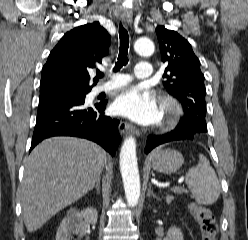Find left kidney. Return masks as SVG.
<instances>
[{
  "mask_svg": "<svg viewBox=\"0 0 248 240\" xmlns=\"http://www.w3.org/2000/svg\"><path fill=\"white\" fill-rule=\"evenodd\" d=\"M164 240H184L183 234L179 228L171 227Z\"/></svg>",
  "mask_w": 248,
  "mask_h": 240,
  "instance_id": "obj_1",
  "label": "left kidney"
}]
</instances>
